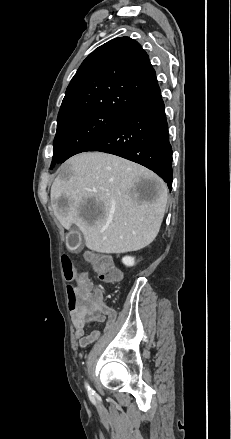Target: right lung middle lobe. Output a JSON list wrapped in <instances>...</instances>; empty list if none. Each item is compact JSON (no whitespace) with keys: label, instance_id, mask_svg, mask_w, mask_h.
I'll return each instance as SVG.
<instances>
[{"label":"right lung middle lobe","instance_id":"right-lung-middle-lobe-1","mask_svg":"<svg viewBox=\"0 0 231 439\" xmlns=\"http://www.w3.org/2000/svg\"><path fill=\"white\" fill-rule=\"evenodd\" d=\"M122 117L123 115L108 111L89 110L57 118L54 155L50 168L84 152Z\"/></svg>","mask_w":231,"mask_h":439}]
</instances>
